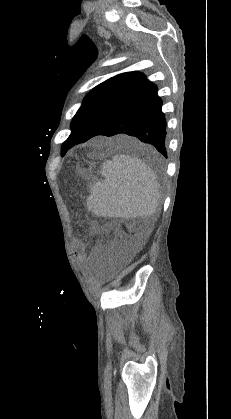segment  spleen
I'll list each match as a JSON object with an SVG mask.
<instances>
[{
    "mask_svg": "<svg viewBox=\"0 0 231 419\" xmlns=\"http://www.w3.org/2000/svg\"><path fill=\"white\" fill-rule=\"evenodd\" d=\"M104 180L92 186L88 210L103 217L147 218L160 203V187L153 170L142 160L117 154L104 162Z\"/></svg>",
    "mask_w": 231,
    "mask_h": 419,
    "instance_id": "1",
    "label": "spleen"
}]
</instances>
